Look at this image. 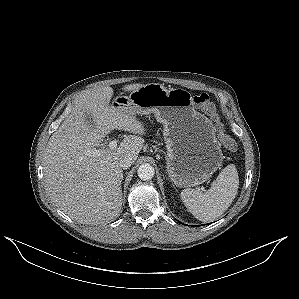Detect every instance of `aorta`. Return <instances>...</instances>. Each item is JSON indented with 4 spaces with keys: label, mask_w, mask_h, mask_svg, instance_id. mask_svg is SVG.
<instances>
[{
    "label": "aorta",
    "mask_w": 299,
    "mask_h": 299,
    "mask_svg": "<svg viewBox=\"0 0 299 299\" xmlns=\"http://www.w3.org/2000/svg\"><path fill=\"white\" fill-rule=\"evenodd\" d=\"M137 173L140 179L146 181L153 178L155 170L149 163H144L139 166Z\"/></svg>",
    "instance_id": "obj_1"
}]
</instances>
